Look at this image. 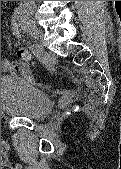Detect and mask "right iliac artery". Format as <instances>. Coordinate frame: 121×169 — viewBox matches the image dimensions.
Instances as JSON below:
<instances>
[{
	"label": "right iliac artery",
	"mask_w": 121,
	"mask_h": 169,
	"mask_svg": "<svg viewBox=\"0 0 121 169\" xmlns=\"http://www.w3.org/2000/svg\"><path fill=\"white\" fill-rule=\"evenodd\" d=\"M22 18H23V12L20 8H17L12 17V26H13L14 34L18 38L21 37L22 32L27 31L23 25ZM37 57H39L40 59V56L37 55ZM41 61L44 63V60L41 59Z\"/></svg>",
	"instance_id": "obj_1"
}]
</instances>
